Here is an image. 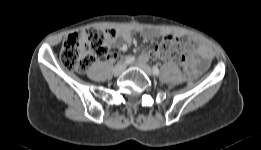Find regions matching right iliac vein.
I'll list each match as a JSON object with an SVG mask.
<instances>
[{
	"label": "right iliac vein",
	"instance_id": "obj_1",
	"mask_svg": "<svg viewBox=\"0 0 261 150\" xmlns=\"http://www.w3.org/2000/svg\"><path fill=\"white\" fill-rule=\"evenodd\" d=\"M125 68H126V65H125V64L119 63V64H117V65L114 67V69H113V74H114L115 76H118V75H120V74L125 70Z\"/></svg>",
	"mask_w": 261,
	"mask_h": 150
}]
</instances>
